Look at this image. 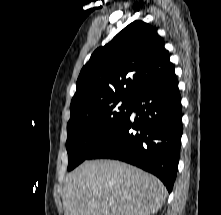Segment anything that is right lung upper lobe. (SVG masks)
Wrapping results in <instances>:
<instances>
[{
    "mask_svg": "<svg viewBox=\"0 0 221 215\" xmlns=\"http://www.w3.org/2000/svg\"><path fill=\"white\" fill-rule=\"evenodd\" d=\"M173 73L157 30L143 21H134L93 52L80 72L70 106L117 98L133 100Z\"/></svg>",
    "mask_w": 221,
    "mask_h": 215,
    "instance_id": "cb5924a9",
    "label": "right lung upper lobe"
}]
</instances>
